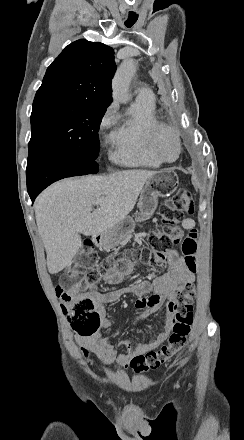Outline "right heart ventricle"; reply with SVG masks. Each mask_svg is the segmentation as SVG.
Listing matches in <instances>:
<instances>
[{"mask_svg": "<svg viewBox=\"0 0 244 440\" xmlns=\"http://www.w3.org/2000/svg\"><path fill=\"white\" fill-rule=\"evenodd\" d=\"M117 121V127L107 137L109 144L117 145L114 159L127 166L157 167L160 160L152 151L156 132L152 127L158 122L155 101L137 102L135 99L126 114L118 116Z\"/></svg>", "mask_w": 244, "mask_h": 440, "instance_id": "right-heart-ventricle-1", "label": "right heart ventricle"}]
</instances>
